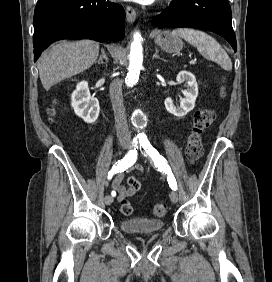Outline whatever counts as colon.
Returning <instances> with one entry per match:
<instances>
[{
    "mask_svg": "<svg viewBox=\"0 0 272 282\" xmlns=\"http://www.w3.org/2000/svg\"><path fill=\"white\" fill-rule=\"evenodd\" d=\"M215 119V113L210 109H202L195 114L193 126L188 136L186 144V158L189 163H196L202 156L203 147L201 134L204 129L208 128ZM136 178H129L128 183H135ZM120 210L124 215H131L134 212L132 204L123 199L120 202ZM167 212V204L164 202H157L152 208V214L154 217L161 218Z\"/></svg>",
    "mask_w": 272,
    "mask_h": 282,
    "instance_id": "obj_1",
    "label": "colon"
}]
</instances>
